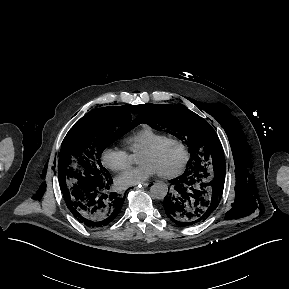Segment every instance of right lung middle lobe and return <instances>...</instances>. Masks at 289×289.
Segmentation results:
<instances>
[{"mask_svg":"<svg viewBox=\"0 0 289 289\" xmlns=\"http://www.w3.org/2000/svg\"><path fill=\"white\" fill-rule=\"evenodd\" d=\"M137 105L98 108L81 118L66 136L58 162V179L63 195L79 192L104 182L110 173L100 154L112 142L137 126Z\"/></svg>","mask_w":289,"mask_h":289,"instance_id":"1","label":"right lung middle lobe"}]
</instances>
